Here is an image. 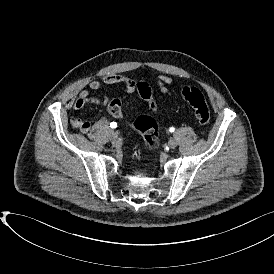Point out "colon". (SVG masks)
Segmentation results:
<instances>
[{
    "label": "colon",
    "instance_id": "5ec220e1",
    "mask_svg": "<svg viewBox=\"0 0 274 274\" xmlns=\"http://www.w3.org/2000/svg\"><path fill=\"white\" fill-rule=\"evenodd\" d=\"M138 91L142 97H149L152 94V90L146 83H140L138 85ZM180 94L193 109L198 124L201 126H207L211 118L210 110L200 89L194 86H185L180 90ZM147 104L151 112H157L158 107L154 99H147ZM121 106V100H115L110 103L109 109L114 117H122ZM129 128L143 134L144 143L149 153L155 149L157 144V126L154 118H151L148 115H140L129 124Z\"/></svg>",
    "mask_w": 274,
    "mask_h": 274
}]
</instances>
